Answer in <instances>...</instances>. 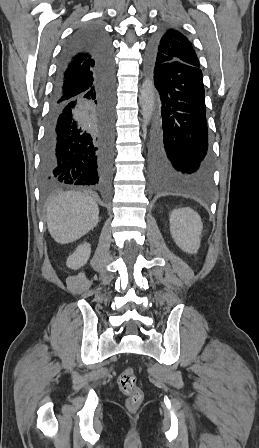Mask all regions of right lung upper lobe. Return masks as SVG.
Wrapping results in <instances>:
<instances>
[{
  "mask_svg": "<svg viewBox=\"0 0 259 448\" xmlns=\"http://www.w3.org/2000/svg\"><path fill=\"white\" fill-rule=\"evenodd\" d=\"M90 56L81 54L68 65L63 76L65 92L82 91L88 89L94 80L93 63Z\"/></svg>",
  "mask_w": 259,
  "mask_h": 448,
  "instance_id": "cb5924a9",
  "label": "right lung upper lobe"
}]
</instances>
